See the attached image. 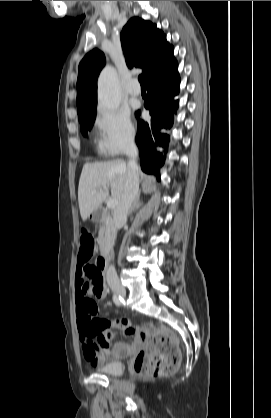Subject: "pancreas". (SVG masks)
<instances>
[{"label": "pancreas", "mask_w": 271, "mask_h": 418, "mask_svg": "<svg viewBox=\"0 0 271 418\" xmlns=\"http://www.w3.org/2000/svg\"><path fill=\"white\" fill-rule=\"evenodd\" d=\"M113 226L110 218L104 220L103 225L99 229L98 243L103 247L107 240L112 237Z\"/></svg>", "instance_id": "obj_1"}]
</instances>
